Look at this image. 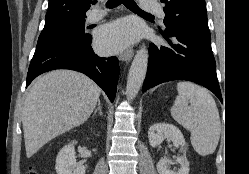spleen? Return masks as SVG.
Instances as JSON below:
<instances>
[{
	"instance_id": "1",
	"label": "spleen",
	"mask_w": 249,
	"mask_h": 174,
	"mask_svg": "<svg viewBox=\"0 0 249 174\" xmlns=\"http://www.w3.org/2000/svg\"><path fill=\"white\" fill-rule=\"evenodd\" d=\"M177 91L171 107L173 119L190 131L191 144L199 155L212 154L221 130L215 100L206 89L187 81L179 82Z\"/></svg>"
}]
</instances>
